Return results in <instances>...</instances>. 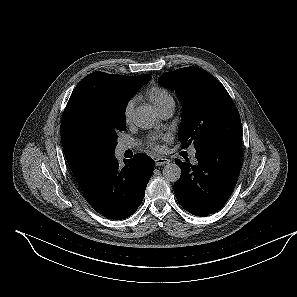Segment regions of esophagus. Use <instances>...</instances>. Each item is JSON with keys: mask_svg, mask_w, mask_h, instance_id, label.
Listing matches in <instances>:
<instances>
[{"mask_svg": "<svg viewBox=\"0 0 297 297\" xmlns=\"http://www.w3.org/2000/svg\"><path fill=\"white\" fill-rule=\"evenodd\" d=\"M170 160L168 158L158 157L155 159V165L156 166H162L165 164H168Z\"/></svg>", "mask_w": 297, "mask_h": 297, "instance_id": "esophagus-1", "label": "esophagus"}]
</instances>
